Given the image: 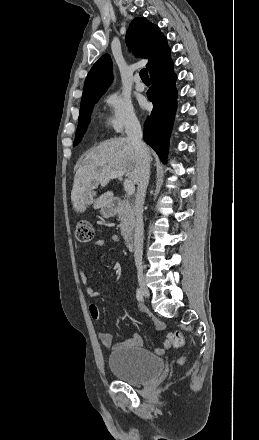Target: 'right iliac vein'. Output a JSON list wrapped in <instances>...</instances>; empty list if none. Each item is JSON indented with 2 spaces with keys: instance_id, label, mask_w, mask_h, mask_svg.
I'll use <instances>...</instances> for the list:
<instances>
[{
  "instance_id": "obj_1",
  "label": "right iliac vein",
  "mask_w": 259,
  "mask_h": 440,
  "mask_svg": "<svg viewBox=\"0 0 259 440\" xmlns=\"http://www.w3.org/2000/svg\"><path fill=\"white\" fill-rule=\"evenodd\" d=\"M138 283L140 286V290L145 298H149L150 293L146 285L145 278L141 272L138 273Z\"/></svg>"
}]
</instances>
